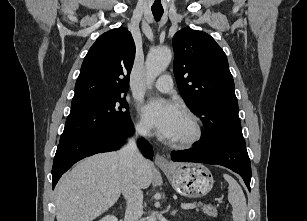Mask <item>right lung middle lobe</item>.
Listing matches in <instances>:
<instances>
[{
  "mask_svg": "<svg viewBox=\"0 0 307 221\" xmlns=\"http://www.w3.org/2000/svg\"><path fill=\"white\" fill-rule=\"evenodd\" d=\"M128 121L130 113L122 94L74 102L60 142Z\"/></svg>",
  "mask_w": 307,
  "mask_h": 221,
  "instance_id": "right-lung-middle-lobe-1",
  "label": "right lung middle lobe"
}]
</instances>
